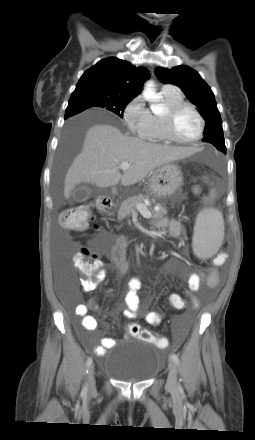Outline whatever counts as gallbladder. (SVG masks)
I'll return each mask as SVG.
<instances>
[{
    "mask_svg": "<svg viewBox=\"0 0 255 440\" xmlns=\"http://www.w3.org/2000/svg\"><path fill=\"white\" fill-rule=\"evenodd\" d=\"M91 195V190L90 188L86 187V186H80L77 187L76 189H74V191L71 194L70 199L73 202H83L85 200H87Z\"/></svg>",
    "mask_w": 255,
    "mask_h": 440,
    "instance_id": "1",
    "label": "gallbladder"
}]
</instances>
